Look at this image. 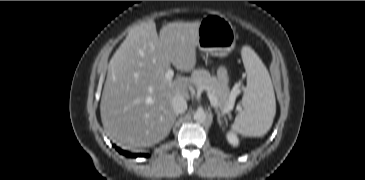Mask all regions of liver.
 <instances>
[{"instance_id": "liver-1", "label": "liver", "mask_w": 365, "mask_h": 180, "mask_svg": "<svg viewBox=\"0 0 365 180\" xmlns=\"http://www.w3.org/2000/svg\"><path fill=\"white\" fill-rule=\"evenodd\" d=\"M196 22H173L158 36L153 21L132 27L112 56L100 103L103 127L123 145L150 147L170 132L175 113L172 98L189 99L191 79L167 81L172 64L190 72L196 65Z\"/></svg>"}]
</instances>
